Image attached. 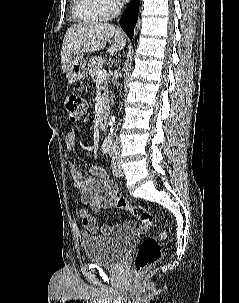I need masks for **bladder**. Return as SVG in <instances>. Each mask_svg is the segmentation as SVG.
<instances>
[{
  "instance_id": "31cf9c89",
  "label": "bladder",
  "mask_w": 239,
  "mask_h": 303,
  "mask_svg": "<svg viewBox=\"0 0 239 303\" xmlns=\"http://www.w3.org/2000/svg\"><path fill=\"white\" fill-rule=\"evenodd\" d=\"M133 235L111 237L99 233L82 237V247L87 260L103 266H115L126 254Z\"/></svg>"
}]
</instances>
